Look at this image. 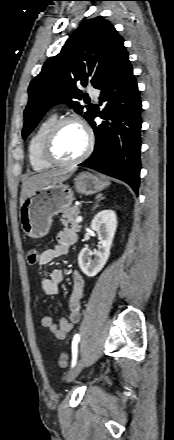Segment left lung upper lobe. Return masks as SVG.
I'll use <instances>...</instances> for the list:
<instances>
[{"instance_id": "obj_1", "label": "left lung upper lobe", "mask_w": 174, "mask_h": 440, "mask_svg": "<svg viewBox=\"0 0 174 440\" xmlns=\"http://www.w3.org/2000/svg\"><path fill=\"white\" fill-rule=\"evenodd\" d=\"M123 38L110 21L102 16L85 20L72 33L60 53L44 64L41 73L29 85V102L24 111L22 131L26 138L53 105L67 103L82 114L84 106L78 84L97 87L104 72L125 48ZM83 117L88 121L93 107L86 106Z\"/></svg>"}]
</instances>
